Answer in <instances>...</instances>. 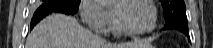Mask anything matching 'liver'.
I'll return each mask as SVG.
<instances>
[{"instance_id": "obj_1", "label": "liver", "mask_w": 213, "mask_h": 48, "mask_svg": "<svg viewBox=\"0 0 213 48\" xmlns=\"http://www.w3.org/2000/svg\"><path fill=\"white\" fill-rule=\"evenodd\" d=\"M147 40L115 44L107 42L63 14H52L40 21L26 40V48H145Z\"/></svg>"}]
</instances>
